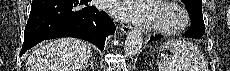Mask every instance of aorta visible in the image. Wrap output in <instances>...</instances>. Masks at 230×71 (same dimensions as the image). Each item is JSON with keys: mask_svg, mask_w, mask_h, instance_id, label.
I'll use <instances>...</instances> for the list:
<instances>
[{"mask_svg": "<svg viewBox=\"0 0 230 71\" xmlns=\"http://www.w3.org/2000/svg\"><path fill=\"white\" fill-rule=\"evenodd\" d=\"M144 37L140 31H131L124 43V52L128 56L137 55L142 47Z\"/></svg>", "mask_w": 230, "mask_h": 71, "instance_id": "762f6f07", "label": "aorta"}]
</instances>
